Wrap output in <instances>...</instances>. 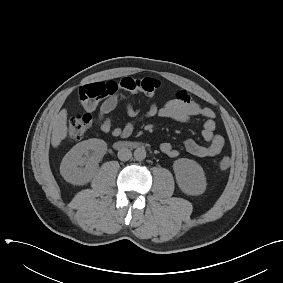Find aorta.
I'll return each instance as SVG.
<instances>
[{
    "label": "aorta",
    "instance_id": "aorta-1",
    "mask_svg": "<svg viewBox=\"0 0 283 283\" xmlns=\"http://www.w3.org/2000/svg\"><path fill=\"white\" fill-rule=\"evenodd\" d=\"M134 158L137 161H142L146 158V150L143 147H138L134 151Z\"/></svg>",
    "mask_w": 283,
    "mask_h": 283
}]
</instances>
